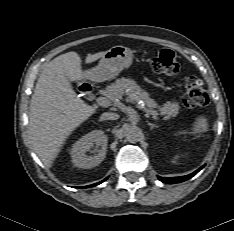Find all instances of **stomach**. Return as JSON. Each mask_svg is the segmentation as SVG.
Masks as SVG:
<instances>
[{"label": "stomach", "instance_id": "obj_1", "mask_svg": "<svg viewBox=\"0 0 234 231\" xmlns=\"http://www.w3.org/2000/svg\"><path fill=\"white\" fill-rule=\"evenodd\" d=\"M132 62L133 53L130 48L114 46L105 52L97 66L86 70L83 75L92 81L104 82L130 67Z\"/></svg>", "mask_w": 234, "mask_h": 231}]
</instances>
